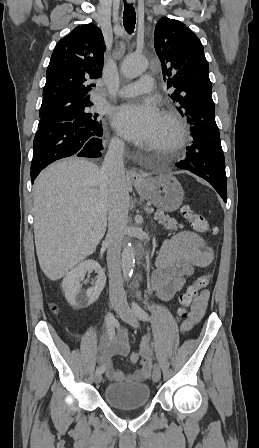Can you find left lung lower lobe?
Returning <instances> with one entry per match:
<instances>
[{
  "instance_id": "left-lung-lower-lobe-1",
  "label": "left lung lower lobe",
  "mask_w": 259,
  "mask_h": 448,
  "mask_svg": "<svg viewBox=\"0 0 259 448\" xmlns=\"http://www.w3.org/2000/svg\"><path fill=\"white\" fill-rule=\"evenodd\" d=\"M187 120L192 125L193 144L187 147L185 160L176 166L207 180L227 202L225 159L217 124L201 117H188Z\"/></svg>"
}]
</instances>
